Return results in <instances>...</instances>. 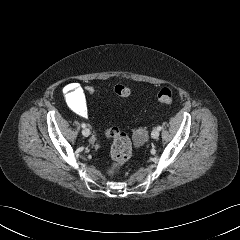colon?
<instances>
[{"instance_id": "obj_1", "label": "colon", "mask_w": 240, "mask_h": 240, "mask_svg": "<svg viewBox=\"0 0 240 240\" xmlns=\"http://www.w3.org/2000/svg\"><path fill=\"white\" fill-rule=\"evenodd\" d=\"M84 92L88 95L95 93L93 85H86ZM114 93L122 98L131 95V89L123 84L116 85ZM157 101L160 104L170 105L173 102V91L168 88H162L157 94ZM106 135L113 140L111 147L112 165L108 168V174L113 175L119 167L127 162L132 154V145L129 137L116 127H110L106 130Z\"/></svg>"}]
</instances>
